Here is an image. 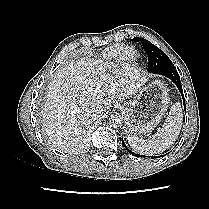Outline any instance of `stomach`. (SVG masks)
<instances>
[{"label":"stomach","instance_id":"stomach-1","mask_svg":"<svg viewBox=\"0 0 209 209\" xmlns=\"http://www.w3.org/2000/svg\"><path fill=\"white\" fill-rule=\"evenodd\" d=\"M168 105V90L160 80L140 88L134 100L119 102V108L125 115V132L134 136L152 132Z\"/></svg>","mask_w":209,"mask_h":209}]
</instances>
